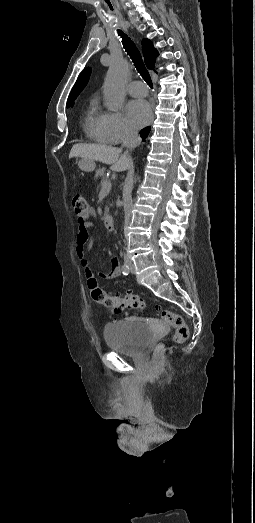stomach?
<instances>
[{
	"instance_id": "0dacf381",
	"label": "stomach",
	"mask_w": 255,
	"mask_h": 523,
	"mask_svg": "<svg viewBox=\"0 0 255 523\" xmlns=\"http://www.w3.org/2000/svg\"><path fill=\"white\" fill-rule=\"evenodd\" d=\"M78 166L80 170H83V172H93L95 170V162L94 160H80L78 162Z\"/></svg>"
}]
</instances>
